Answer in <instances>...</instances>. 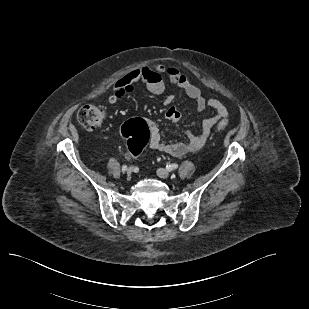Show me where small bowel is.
<instances>
[{
	"label": "small bowel",
	"instance_id": "1",
	"mask_svg": "<svg viewBox=\"0 0 309 309\" xmlns=\"http://www.w3.org/2000/svg\"><path fill=\"white\" fill-rule=\"evenodd\" d=\"M166 77L174 88L166 101L170 103L174 96L183 91L188 97L193 99L199 111H203L207 107L214 111V115L206 118L202 122L201 130L197 134H185L184 141L167 143L162 140L159 124L155 120H147L150 132V147L154 150L168 153L172 156H182L189 152L200 150L208 140L213 127L221 120L228 116V110L225 105L218 99H206L200 88L192 84L190 80L175 67H168L162 64H151L149 66L133 70L120 79H118L112 89V93L108 97L110 104H116L125 95L134 90L137 83L143 84L147 90L153 94L160 95L164 93ZM165 118L173 124H178L181 119V113L174 107L169 108L165 113ZM130 157V153L126 155Z\"/></svg>",
	"mask_w": 309,
	"mask_h": 309
}]
</instances>
